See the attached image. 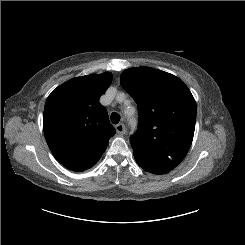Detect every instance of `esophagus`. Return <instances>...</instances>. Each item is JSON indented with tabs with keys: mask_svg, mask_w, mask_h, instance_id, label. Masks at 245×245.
Masks as SVG:
<instances>
[{
	"mask_svg": "<svg viewBox=\"0 0 245 245\" xmlns=\"http://www.w3.org/2000/svg\"><path fill=\"white\" fill-rule=\"evenodd\" d=\"M115 129H116L118 134H125V132H126L125 126L122 123L117 124Z\"/></svg>",
	"mask_w": 245,
	"mask_h": 245,
	"instance_id": "34e87169",
	"label": "esophagus"
}]
</instances>
